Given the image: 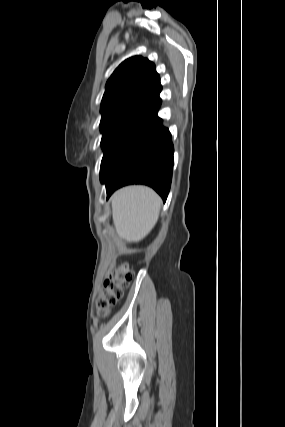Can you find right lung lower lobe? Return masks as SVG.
Returning <instances> with one entry per match:
<instances>
[{"label":"right lung lower lobe","mask_w":285,"mask_h":427,"mask_svg":"<svg viewBox=\"0 0 285 427\" xmlns=\"http://www.w3.org/2000/svg\"><path fill=\"white\" fill-rule=\"evenodd\" d=\"M161 100L145 113L125 140L114 161L100 175L107 198L128 184H146L166 200L172 179L174 148L171 134L157 116Z\"/></svg>","instance_id":"right-lung-lower-lobe-1"}]
</instances>
